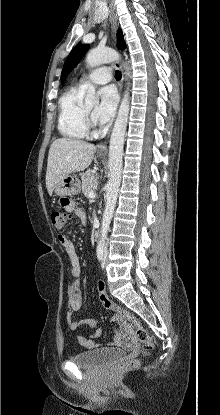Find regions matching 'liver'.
I'll list each match as a JSON object with an SVG mask.
<instances>
[{
	"instance_id": "6515ba94",
	"label": "liver",
	"mask_w": 220,
	"mask_h": 415,
	"mask_svg": "<svg viewBox=\"0 0 220 415\" xmlns=\"http://www.w3.org/2000/svg\"><path fill=\"white\" fill-rule=\"evenodd\" d=\"M96 152L93 144L82 140L56 139L48 153L46 188L51 195L55 186L65 177L89 167Z\"/></svg>"
}]
</instances>
